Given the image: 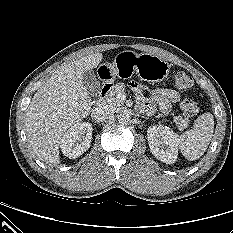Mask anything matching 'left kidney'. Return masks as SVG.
Returning <instances> with one entry per match:
<instances>
[{"instance_id":"obj_1","label":"left kidney","mask_w":233,"mask_h":233,"mask_svg":"<svg viewBox=\"0 0 233 233\" xmlns=\"http://www.w3.org/2000/svg\"><path fill=\"white\" fill-rule=\"evenodd\" d=\"M148 144L152 154L166 164L177 160L179 136L169 127L154 125L147 130Z\"/></svg>"}]
</instances>
